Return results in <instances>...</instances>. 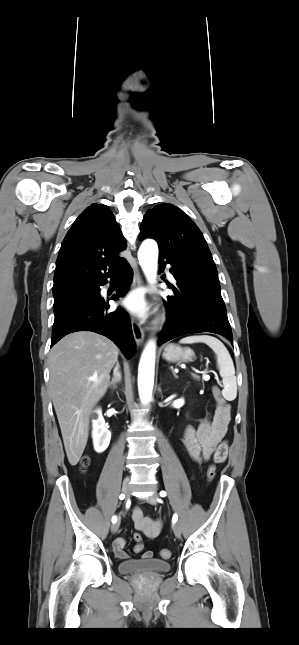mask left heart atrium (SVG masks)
<instances>
[{
    "label": "left heart atrium",
    "mask_w": 299,
    "mask_h": 645,
    "mask_svg": "<svg viewBox=\"0 0 299 645\" xmlns=\"http://www.w3.org/2000/svg\"><path fill=\"white\" fill-rule=\"evenodd\" d=\"M122 305L130 312L141 316L147 311L146 302L140 292H134L127 295L122 300Z\"/></svg>",
    "instance_id": "1"
}]
</instances>
